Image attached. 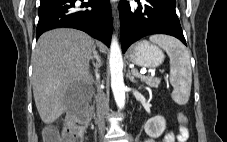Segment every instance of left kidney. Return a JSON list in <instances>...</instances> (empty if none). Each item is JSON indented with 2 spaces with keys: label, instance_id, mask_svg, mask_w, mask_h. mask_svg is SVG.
Wrapping results in <instances>:
<instances>
[{
  "label": "left kidney",
  "instance_id": "1",
  "mask_svg": "<svg viewBox=\"0 0 227 142\" xmlns=\"http://www.w3.org/2000/svg\"><path fill=\"white\" fill-rule=\"evenodd\" d=\"M166 128V121L164 117L158 115L150 118L144 125L145 132L152 138L160 137Z\"/></svg>",
  "mask_w": 227,
  "mask_h": 142
}]
</instances>
